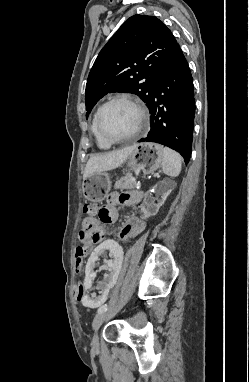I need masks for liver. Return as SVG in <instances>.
<instances>
[{
	"label": "liver",
	"instance_id": "obj_1",
	"mask_svg": "<svg viewBox=\"0 0 249 382\" xmlns=\"http://www.w3.org/2000/svg\"><path fill=\"white\" fill-rule=\"evenodd\" d=\"M134 146L122 148L120 150L92 156L85 167L83 179L90 174L104 172L115 169L122 165L133 151Z\"/></svg>",
	"mask_w": 249,
	"mask_h": 382
}]
</instances>
